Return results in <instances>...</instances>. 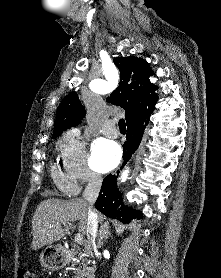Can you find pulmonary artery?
<instances>
[{"label": "pulmonary artery", "instance_id": "pulmonary-artery-1", "mask_svg": "<svg viewBox=\"0 0 221 278\" xmlns=\"http://www.w3.org/2000/svg\"><path fill=\"white\" fill-rule=\"evenodd\" d=\"M103 133L109 137H117L119 135V130L116 128L115 123L110 121L103 128Z\"/></svg>", "mask_w": 221, "mask_h": 278}]
</instances>
